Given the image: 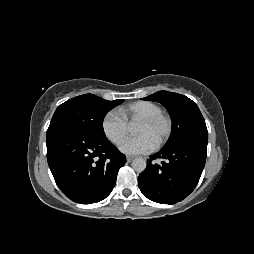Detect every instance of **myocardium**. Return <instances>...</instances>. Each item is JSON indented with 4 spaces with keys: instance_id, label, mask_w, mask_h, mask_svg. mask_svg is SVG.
<instances>
[{
    "instance_id": "f54148a6",
    "label": "myocardium",
    "mask_w": 254,
    "mask_h": 254,
    "mask_svg": "<svg viewBox=\"0 0 254 254\" xmlns=\"http://www.w3.org/2000/svg\"><path fill=\"white\" fill-rule=\"evenodd\" d=\"M159 121L165 122L166 131L164 136L155 144L156 148H160L169 140L173 130V123L171 118L164 113H158V114L143 118L139 121L140 123H143L145 125H152Z\"/></svg>"
}]
</instances>
